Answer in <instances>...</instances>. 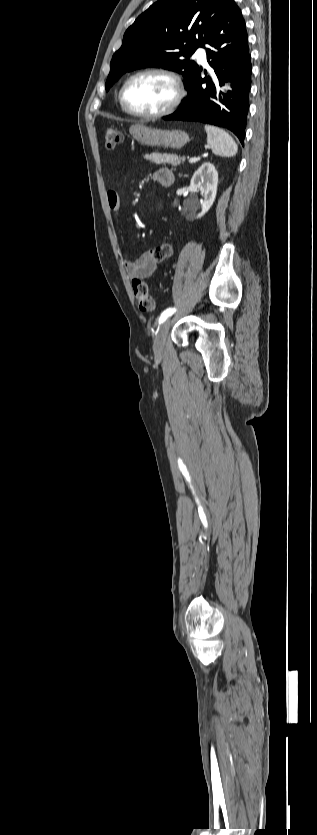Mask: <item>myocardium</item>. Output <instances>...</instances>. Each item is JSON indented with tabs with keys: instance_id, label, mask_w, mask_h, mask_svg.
Segmentation results:
<instances>
[{
	"instance_id": "myocardium-1",
	"label": "myocardium",
	"mask_w": 317,
	"mask_h": 835,
	"mask_svg": "<svg viewBox=\"0 0 317 835\" xmlns=\"http://www.w3.org/2000/svg\"><path fill=\"white\" fill-rule=\"evenodd\" d=\"M148 74H157V75H161V76H164V77L168 78L172 82V84L174 86V89H175V96L173 97L171 102L164 109H162L158 112H155V113H143V112L135 111L128 105V103L125 99V90H126L127 86L129 85V83L131 81H133L134 79H136L137 77H140V76H143V75H148ZM184 97H185V89H184L181 78L175 72H173L171 70H168V69H165V68H159V67L145 68V69H142V70H139V71L133 73L132 75H130L124 81V83L122 84V86L120 88V91H119V101H120V104H121L122 108L127 113H129L130 115L135 116V117H139V118H144V119H157V118H161V117H164V116H167V115L173 113L179 107V105L183 101Z\"/></svg>"
}]
</instances>
